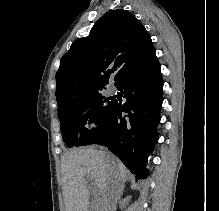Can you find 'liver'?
I'll return each mask as SVG.
<instances>
[{
    "mask_svg": "<svg viewBox=\"0 0 219 211\" xmlns=\"http://www.w3.org/2000/svg\"><path fill=\"white\" fill-rule=\"evenodd\" d=\"M86 175L95 179L96 187L88 185ZM127 175V167L110 151H68L62 159V189L66 211H89L90 193H93V189H97V193L102 195L96 203V211H106L104 203L111 199L113 191L117 189L113 179L123 185Z\"/></svg>",
    "mask_w": 219,
    "mask_h": 211,
    "instance_id": "obj_1",
    "label": "liver"
}]
</instances>
